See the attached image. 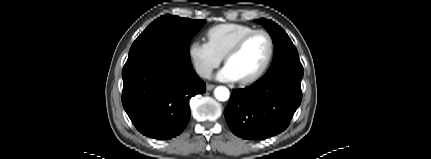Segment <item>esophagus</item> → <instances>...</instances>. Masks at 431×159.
<instances>
[{"label": "esophagus", "mask_w": 431, "mask_h": 159, "mask_svg": "<svg viewBox=\"0 0 431 159\" xmlns=\"http://www.w3.org/2000/svg\"><path fill=\"white\" fill-rule=\"evenodd\" d=\"M215 88V85H213V84H207L206 85V89L208 90V91H211V90H213Z\"/></svg>", "instance_id": "esophagus-1"}]
</instances>
